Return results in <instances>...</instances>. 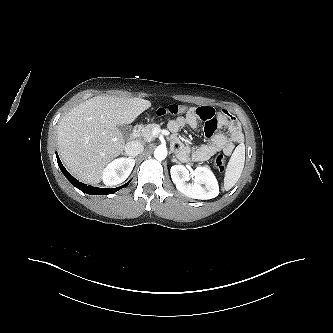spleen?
Segmentation results:
<instances>
[{
	"label": "spleen",
	"instance_id": "obj_1",
	"mask_svg": "<svg viewBox=\"0 0 333 333\" xmlns=\"http://www.w3.org/2000/svg\"><path fill=\"white\" fill-rule=\"evenodd\" d=\"M245 163V147L238 146L233 152L224 177V190H230L240 178Z\"/></svg>",
	"mask_w": 333,
	"mask_h": 333
}]
</instances>
